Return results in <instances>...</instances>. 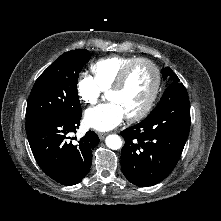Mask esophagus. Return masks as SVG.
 <instances>
[{"mask_svg": "<svg viewBox=\"0 0 221 221\" xmlns=\"http://www.w3.org/2000/svg\"><path fill=\"white\" fill-rule=\"evenodd\" d=\"M106 135H107L106 133H98V136L101 140H103Z\"/></svg>", "mask_w": 221, "mask_h": 221, "instance_id": "esophagus-1", "label": "esophagus"}]
</instances>
